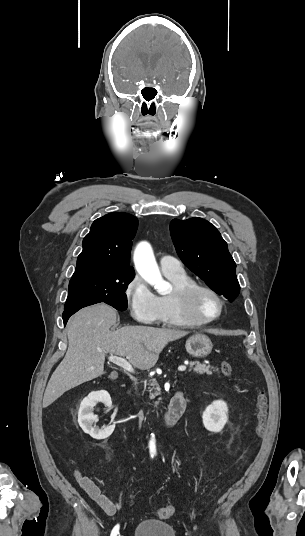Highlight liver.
Wrapping results in <instances>:
<instances>
[{"mask_svg":"<svg viewBox=\"0 0 305 536\" xmlns=\"http://www.w3.org/2000/svg\"><path fill=\"white\" fill-rule=\"evenodd\" d=\"M116 322L115 310L106 304L83 308L70 318L68 350L48 382L43 408L53 404L67 390L105 374L106 354L123 356L138 370H150L168 342L189 334L183 330L149 326H125L110 332Z\"/></svg>","mask_w":305,"mask_h":536,"instance_id":"6515ba94","label":"liver"}]
</instances>
